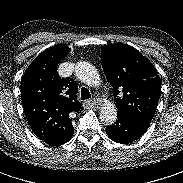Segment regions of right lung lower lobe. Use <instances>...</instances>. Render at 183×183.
Here are the masks:
<instances>
[{"label": "right lung lower lobe", "instance_id": "obj_1", "mask_svg": "<svg viewBox=\"0 0 183 183\" xmlns=\"http://www.w3.org/2000/svg\"><path fill=\"white\" fill-rule=\"evenodd\" d=\"M71 139V138H70ZM70 139L64 141V142H55V143H48L49 145H55V146H59V145H63L64 143L68 142Z\"/></svg>", "mask_w": 183, "mask_h": 183}]
</instances>
